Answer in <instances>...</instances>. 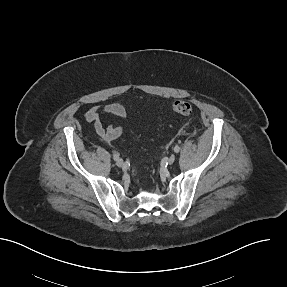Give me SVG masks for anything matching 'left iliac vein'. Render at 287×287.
Listing matches in <instances>:
<instances>
[{"label": "left iliac vein", "mask_w": 287, "mask_h": 287, "mask_svg": "<svg viewBox=\"0 0 287 287\" xmlns=\"http://www.w3.org/2000/svg\"><path fill=\"white\" fill-rule=\"evenodd\" d=\"M174 161H175V155H171V156L168 158V160H167V162H168L169 165L173 164Z\"/></svg>", "instance_id": "left-iliac-vein-1"}]
</instances>
